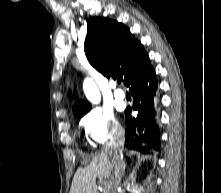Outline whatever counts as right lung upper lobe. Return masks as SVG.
<instances>
[{
  "label": "right lung upper lobe",
  "instance_id": "obj_1",
  "mask_svg": "<svg viewBox=\"0 0 221 193\" xmlns=\"http://www.w3.org/2000/svg\"><path fill=\"white\" fill-rule=\"evenodd\" d=\"M84 51L90 64L106 77H120L127 84L130 76L149 59L143 45L134 38L129 28L107 18L87 20ZM90 105L78 101L74 114L82 116Z\"/></svg>",
  "mask_w": 221,
  "mask_h": 193
}]
</instances>
